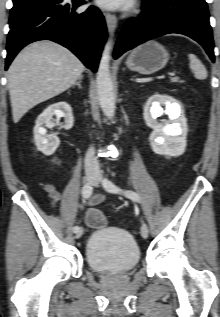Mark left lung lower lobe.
<instances>
[{"mask_svg": "<svg viewBox=\"0 0 220 317\" xmlns=\"http://www.w3.org/2000/svg\"><path fill=\"white\" fill-rule=\"evenodd\" d=\"M143 12L119 35L114 58L157 36L179 33L199 42L214 62V43L205 0H143Z\"/></svg>", "mask_w": 220, "mask_h": 317, "instance_id": "left-lung-lower-lobe-1", "label": "left lung lower lobe"}]
</instances>
